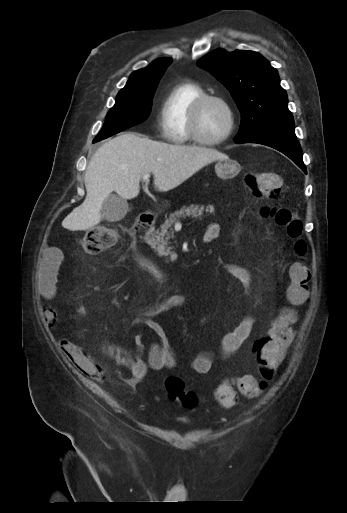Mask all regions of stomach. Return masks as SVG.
Masks as SVG:
<instances>
[{
    "label": "stomach",
    "instance_id": "0dacf381",
    "mask_svg": "<svg viewBox=\"0 0 347 513\" xmlns=\"http://www.w3.org/2000/svg\"><path fill=\"white\" fill-rule=\"evenodd\" d=\"M241 170L240 164L230 158L218 160L215 164V173L221 179L227 180L235 177Z\"/></svg>",
    "mask_w": 347,
    "mask_h": 513
}]
</instances>
